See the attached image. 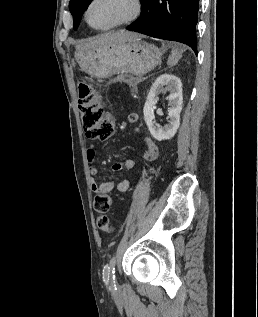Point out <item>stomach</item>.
<instances>
[{"mask_svg": "<svg viewBox=\"0 0 258 317\" xmlns=\"http://www.w3.org/2000/svg\"><path fill=\"white\" fill-rule=\"evenodd\" d=\"M162 54L163 50L144 42L140 36L118 44L77 48L74 52L81 70L98 78H107L118 72H131L135 76H142L159 64Z\"/></svg>", "mask_w": 258, "mask_h": 317, "instance_id": "stomach-1", "label": "stomach"}]
</instances>
